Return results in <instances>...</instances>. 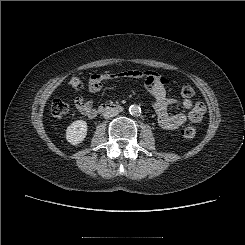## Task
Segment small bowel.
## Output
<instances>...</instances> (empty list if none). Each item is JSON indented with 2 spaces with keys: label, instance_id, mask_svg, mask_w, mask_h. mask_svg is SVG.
Masks as SVG:
<instances>
[{
  "label": "small bowel",
  "instance_id": "obj_1",
  "mask_svg": "<svg viewBox=\"0 0 245 245\" xmlns=\"http://www.w3.org/2000/svg\"><path fill=\"white\" fill-rule=\"evenodd\" d=\"M133 78L144 81L147 93L154 99L152 104L159 126L166 131L175 130L181 127L186 122H200L206 112V107L203 102H193L190 98H185L181 102L167 96V88L170 82L167 78L160 76L154 71L127 70L120 73L112 74H95L92 75L88 82L90 91H97L102 84L111 79ZM178 105L188 114L177 113L169 114L168 107ZM75 106L78 111L88 118L95 116V108L91 100H86L81 96L76 97Z\"/></svg>",
  "mask_w": 245,
  "mask_h": 245
}]
</instances>
